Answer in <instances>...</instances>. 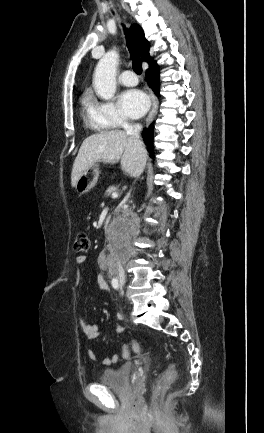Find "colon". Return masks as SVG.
Returning a JSON list of instances; mask_svg holds the SVG:
<instances>
[{
  "label": "colon",
  "instance_id": "obj_1",
  "mask_svg": "<svg viewBox=\"0 0 264 433\" xmlns=\"http://www.w3.org/2000/svg\"><path fill=\"white\" fill-rule=\"evenodd\" d=\"M74 251L76 253H86L90 249V240L86 233L79 232L75 238ZM131 352L136 354L141 352V345L137 341H131L126 344L122 349V356L127 359L130 357ZM176 375V368L174 363H170L168 368L164 373V380L166 382H171Z\"/></svg>",
  "mask_w": 264,
  "mask_h": 433
}]
</instances>
